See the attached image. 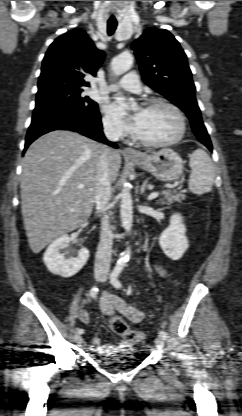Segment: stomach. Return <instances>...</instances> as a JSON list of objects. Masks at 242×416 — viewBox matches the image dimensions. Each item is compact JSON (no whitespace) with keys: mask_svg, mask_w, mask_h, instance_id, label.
Wrapping results in <instances>:
<instances>
[{"mask_svg":"<svg viewBox=\"0 0 242 416\" xmlns=\"http://www.w3.org/2000/svg\"><path fill=\"white\" fill-rule=\"evenodd\" d=\"M132 162L164 182L179 179L183 172L182 158L177 152L168 148L150 155L144 154L142 159H132Z\"/></svg>","mask_w":242,"mask_h":416,"instance_id":"0dacf381","label":"stomach"}]
</instances>
